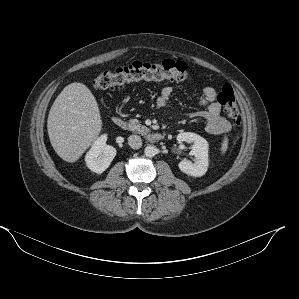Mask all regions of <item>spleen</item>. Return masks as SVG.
<instances>
[{
    "label": "spleen",
    "instance_id": "obj_1",
    "mask_svg": "<svg viewBox=\"0 0 299 299\" xmlns=\"http://www.w3.org/2000/svg\"><path fill=\"white\" fill-rule=\"evenodd\" d=\"M227 148H228V139H227V137H224L223 142L221 144V148H220L222 155L225 154Z\"/></svg>",
    "mask_w": 299,
    "mask_h": 299
}]
</instances>
